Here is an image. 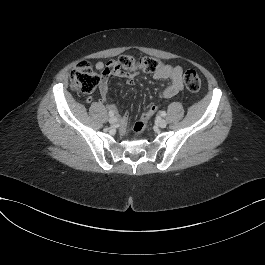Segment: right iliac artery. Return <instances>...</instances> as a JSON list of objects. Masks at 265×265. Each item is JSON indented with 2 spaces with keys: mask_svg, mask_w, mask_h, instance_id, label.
I'll use <instances>...</instances> for the list:
<instances>
[{
  "mask_svg": "<svg viewBox=\"0 0 265 265\" xmlns=\"http://www.w3.org/2000/svg\"><path fill=\"white\" fill-rule=\"evenodd\" d=\"M113 115H114L113 111H109V116H113Z\"/></svg>",
  "mask_w": 265,
  "mask_h": 265,
  "instance_id": "obj_1",
  "label": "right iliac artery"
}]
</instances>
